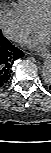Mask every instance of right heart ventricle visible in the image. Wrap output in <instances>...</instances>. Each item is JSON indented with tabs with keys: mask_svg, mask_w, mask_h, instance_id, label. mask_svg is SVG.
<instances>
[{
	"mask_svg": "<svg viewBox=\"0 0 51 153\" xmlns=\"http://www.w3.org/2000/svg\"><path fill=\"white\" fill-rule=\"evenodd\" d=\"M17 6L28 20L35 23L38 16L51 7V0H17Z\"/></svg>",
	"mask_w": 51,
	"mask_h": 153,
	"instance_id": "right-heart-ventricle-1",
	"label": "right heart ventricle"
}]
</instances>
